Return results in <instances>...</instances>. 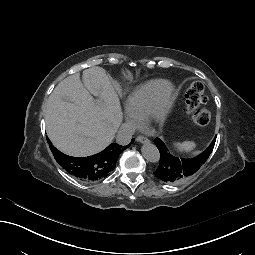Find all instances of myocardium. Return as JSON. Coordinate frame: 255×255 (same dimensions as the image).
Masks as SVG:
<instances>
[{
  "label": "myocardium",
  "mask_w": 255,
  "mask_h": 255,
  "mask_svg": "<svg viewBox=\"0 0 255 255\" xmlns=\"http://www.w3.org/2000/svg\"><path fill=\"white\" fill-rule=\"evenodd\" d=\"M176 98L175 87L166 83L160 90L153 107L142 119V126L148 133H154L162 127L172 112Z\"/></svg>",
  "instance_id": "myocardium-1"
}]
</instances>
